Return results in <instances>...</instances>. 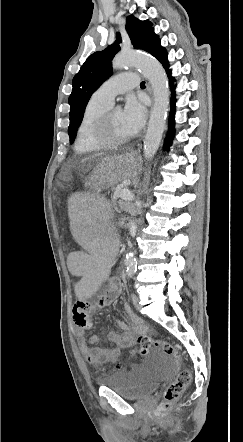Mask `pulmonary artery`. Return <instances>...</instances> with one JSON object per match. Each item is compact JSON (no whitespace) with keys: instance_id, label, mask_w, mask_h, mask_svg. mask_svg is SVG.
Masks as SVG:
<instances>
[{"instance_id":"1","label":"pulmonary artery","mask_w":243,"mask_h":442,"mask_svg":"<svg viewBox=\"0 0 243 442\" xmlns=\"http://www.w3.org/2000/svg\"><path fill=\"white\" fill-rule=\"evenodd\" d=\"M139 84L138 74L135 72L119 73L104 82L93 94L101 102L112 105L118 94L135 88Z\"/></svg>"}]
</instances>
